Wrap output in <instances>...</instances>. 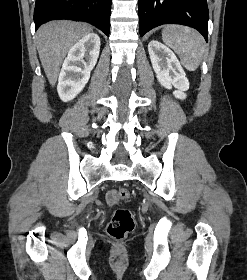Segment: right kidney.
I'll list each match as a JSON object with an SVG mask.
<instances>
[{"label":"right kidney","instance_id":"obj_1","mask_svg":"<svg viewBox=\"0 0 247 280\" xmlns=\"http://www.w3.org/2000/svg\"><path fill=\"white\" fill-rule=\"evenodd\" d=\"M100 38L89 33L74 44L65 58L59 74L57 91L62 101L74 99L85 87L96 65Z\"/></svg>","mask_w":247,"mask_h":280}]
</instances>
